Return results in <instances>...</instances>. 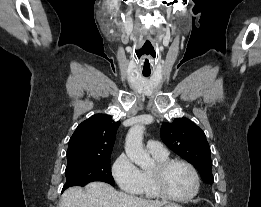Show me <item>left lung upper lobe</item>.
Segmentation results:
<instances>
[{
    "mask_svg": "<svg viewBox=\"0 0 261 207\" xmlns=\"http://www.w3.org/2000/svg\"><path fill=\"white\" fill-rule=\"evenodd\" d=\"M160 135L173 152L198 170L205 183H213L210 147L202 129L187 118H175L162 124Z\"/></svg>",
    "mask_w": 261,
    "mask_h": 207,
    "instance_id": "1",
    "label": "left lung upper lobe"
}]
</instances>
